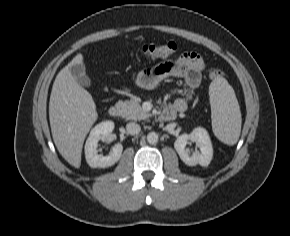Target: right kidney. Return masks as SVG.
Here are the masks:
<instances>
[{
    "label": "right kidney",
    "instance_id": "right-kidney-1",
    "mask_svg": "<svg viewBox=\"0 0 290 236\" xmlns=\"http://www.w3.org/2000/svg\"><path fill=\"white\" fill-rule=\"evenodd\" d=\"M114 129V122L103 121L97 124L90 132L85 144V158L92 168H105L117 163L122 155L123 146L117 143L112 147L108 156L99 155L97 147L99 140L105 139Z\"/></svg>",
    "mask_w": 290,
    "mask_h": 236
}]
</instances>
